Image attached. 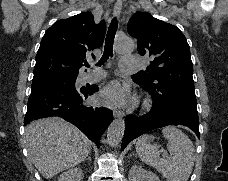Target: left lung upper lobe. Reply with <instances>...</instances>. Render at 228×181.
<instances>
[{"mask_svg":"<svg viewBox=\"0 0 228 181\" xmlns=\"http://www.w3.org/2000/svg\"><path fill=\"white\" fill-rule=\"evenodd\" d=\"M128 33L138 40L139 54L151 58L146 69L132 75L134 82L161 100L196 106L190 48L183 33L147 12L132 16Z\"/></svg>","mask_w":228,"mask_h":181,"instance_id":"left-lung-upper-lobe-1","label":"left lung upper lobe"}]
</instances>
